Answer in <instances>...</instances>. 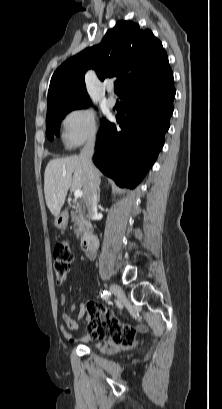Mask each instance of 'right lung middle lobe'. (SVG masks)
<instances>
[{
	"mask_svg": "<svg viewBox=\"0 0 222 409\" xmlns=\"http://www.w3.org/2000/svg\"><path fill=\"white\" fill-rule=\"evenodd\" d=\"M90 103H84V104H72L64 107H59L50 111H47V116H46V124H47V137L52 140L53 136H59V126L61 123V119L64 118V116L74 110V109H79V108H86L89 106ZM108 121L106 119L101 120V128L99 130L98 136L100 133L103 131L105 126L107 125Z\"/></svg>",
	"mask_w": 222,
	"mask_h": 409,
	"instance_id": "dd1d6c3e",
	"label": "right lung middle lobe"
}]
</instances>
